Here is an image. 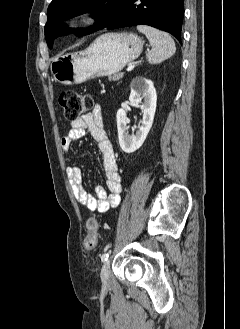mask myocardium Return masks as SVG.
<instances>
[{
  "label": "myocardium",
  "instance_id": "f54148a6",
  "mask_svg": "<svg viewBox=\"0 0 240 329\" xmlns=\"http://www.w3.org/2000/svg\"><path fill=\"white\" fill-rule=\"evenodd\" d=\"M97 23V16L93 10L84 9L74 14L71 25L74 28H82L92 26Z\"/></svg>",
  "mask_w": 240,
  "mask_h": 329
}]
</instances>
